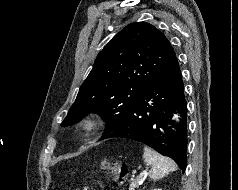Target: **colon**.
Instances as JSON below:
<instances>
[{
    "instance_id": "obj_1",
    "label": "colon",
    "mask_w": 238,
    "mask_h": 190,
    "mask_svg": "<svg viewBox=\"0 0 238 190\" xmlns=\"http://www.w3.org/2000/svg\"><path fill=\"white\" fill-rule=\"evenodd\" d=\"M102 168L118 183H123L129 174L128 166L122 162H104ZM83 190L95 189L91 186H86Z\"/></svg>"
}]
</instances>
